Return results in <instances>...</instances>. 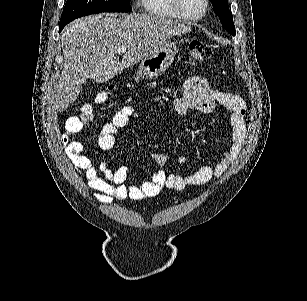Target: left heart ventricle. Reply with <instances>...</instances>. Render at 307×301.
Masks as SVG:
<instances>
[{"label":"left heart ventricle","instance_id":"left-heart-ventricle-1","mask_svg":"<svg viewBox=\"0 0 307 301\" xmlns=\"http://www.w3.org/2000/svg\"><path fill=\"white\" fill-rule=\"evenodd\" d=\"M182 11L180 13H189L190 11H198L199 3L198 0H185L180 1Z\"/></svg>","mask_w":307,"mask_h":301}]
</instances>
